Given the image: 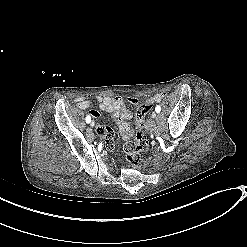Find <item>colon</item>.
<instances>
[{
	"label": "colon",
	"mask_w": 247,
	"mask_h": 247,
	"mask_svg": "<svg viewBox=\"0 0 247 247\" xmlns=\"http://www.w3.org/2000/svg\"><path fill=\"white\" fill-rule=\"evenodd\" d=\"M151 109L149 103L143 102L138 105L136 111V118L143 122L145 116ZM148 139L141 125L136 127L135 139L133 141H127L124 146L126 155V161L130 167H138L141 164L140 151L147 149Z\"/></svg>",
	"instance_id": "5ec220e1"
}]
</instances>
